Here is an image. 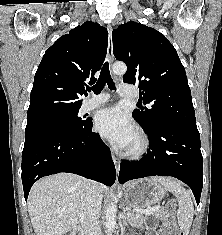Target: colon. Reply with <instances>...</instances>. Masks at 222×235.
<instances>
[{"label":"colon","mask_w":222,"mask_h":235,"mask_svg":"<svg viewBox=\"0 0 222 235\" xmlns=\"http://www.w3.org/2000/svg\"><path fill=\"white\" fill-rule=\"evenodd\" d=\"M159 235H183V233L177 227L174 218L168 217L163 223Z\"/></svg>","instance_id":"5ec220e1"}]
</instances>
